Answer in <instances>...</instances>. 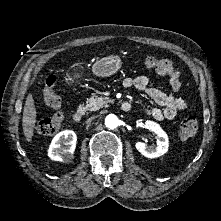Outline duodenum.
<instances>
[{
	"instance_id": "410a0bca",
	"label": "duodenum",
	"mask_w": 221,
	"mask_h": 221,
	"mask_svg": "<svg viewBox=\"0 0 221 221\" xmlns=\"http://www.w3.org/2000/svg\"><path fill=\"white\" fill-rule=\"evenodd\" d=\"M120 107L125 112H127L131 109V105L128 102H122ZM83 116H84V110L77 109L76 111H74L71 118L74 122H80L82 120Z\"/></svg>"
}]
</instances>
